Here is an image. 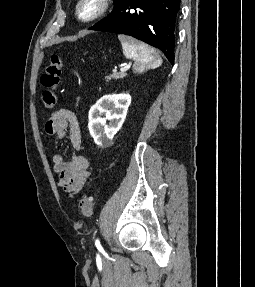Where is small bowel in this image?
Returning a JSON list of instances; mask_svg holds the SVG:
<instances>
[{"instance_id":"c3829d8e","label":"small bowel","mask_w":255,"mask_h":287,"mask_svg":"<svg viewBox=\"0 0 255 287\" xmlns=\"http://www.w3.org/2000/svg\"><path fill=\"white\" fill-rule=\"evenodd\" d=\"M47 134L58 139L69 138L75 150L81 148V131L78 119L74 112L60 109L54 112L45 125ZM53 171L58 175V186L70 196L82 190L89 172V161L86 157L73 154L66 160L63 154L53 156Z\"/></svg>"}]
</instances>
